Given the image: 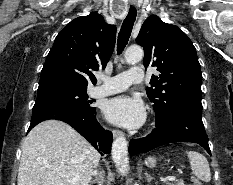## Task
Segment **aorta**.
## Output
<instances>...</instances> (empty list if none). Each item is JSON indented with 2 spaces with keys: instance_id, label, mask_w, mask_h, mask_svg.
I'll return each instance as SVG.
<instances>
[{
  "instance_id": "762f6f07",
  "label": "aorta",
  "mask_w": 233,
  "mask_h": 185,
  "mask_svg": "<svg viewBox=\"0 0 233 185\" xmlns=\"http://www.w3.org/2000/svg\"><path fill=\"white\" fill-rule=\"evenodd\" d=\"M144 56L143 49L139 46H131L125 52V61L134 64L142 60ZM112 158L122 175L129 171L128 143L125 137L120 136L113 141Z\"/></svg>"
}]
</instances>
